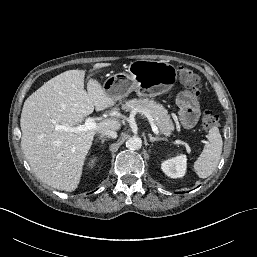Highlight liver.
I'll return each mask as SVG.
<instances>
[{"label": "liver", "instance_id": "obj_1", "mask_svg": "<svg viewBox=\"0 0 257 257\" xmlns=\"http://www.w3.org/2000/svg\"><path fill=\"white\" fill-rule=\"evenodd\" d=\"M96 63L93 70L109 66ZM84 70H68L50 79L24 102L20 126L21 148L36 176L54 189L72 192L80 182L83 165L96 133L119 130L121 124L107 119L96 129L68 132L96 111L115 105L101 84L90 78L84 89Z\"/></svg>", "mask_w": 257, "mask_h": 257}]
</instances>
